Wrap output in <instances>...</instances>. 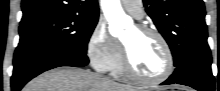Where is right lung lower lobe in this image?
<instances>
[{
  "instance_id": "98d812e1",
  "label": "right lung lower lobe",
  "mask_w": 220,
  "mask_h": 91,
  "mask_svg": "<svg viewBox=\"0 0 220 91\" xmlns=\"http://www.w3.org/2000/svg\"><path fill=\"white\" fill-rule=\"evenodd\" d=\"M89 63L85 53L50 42H20L14 54L12 91H20L32 78L60 66L83 67Z\"/></svg>"
}]
</instances>
